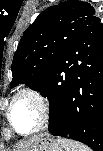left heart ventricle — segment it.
Wrapping results in <instances>:
<instances>
[{"label": "left heart ventricle", "instance_id": "b2bd125f", "mask_svg": "<svg viewBox=\"0 0 103 151\" xmlns=\"http://www.w3.org/2000/svg\"><path fill=\"white\" fill-rule=\"evenodd\" d=\"M11 117L18 131H30L36 127L39 122L38 106L30 98H20L13 106Z\"/></svg>", "mask_w": 103, "mask_h": 151}]
</instances>
